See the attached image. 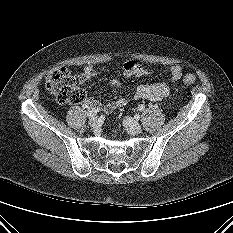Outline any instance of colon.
<instances>
[{
    "label": "colon",
    "instance_id": "5ec220e1",
    "mask_svg": "<svg viewBox=\"0 0 233 233\" xmlns=\"http://www.w3.org/2000/svg\"><path fill=\"white\" fill-rule=\"evenodd\" d=\"M184 84L195 83L193 75H186ZM46 88L55 95L58 102L62 104H79L84 101L85 93L77 86L76 79L70 71L64 67L52 69L45 79Z\"/></svg>",
    "mask_w": 233,
    "mask_h": 233
}]
</instances>
